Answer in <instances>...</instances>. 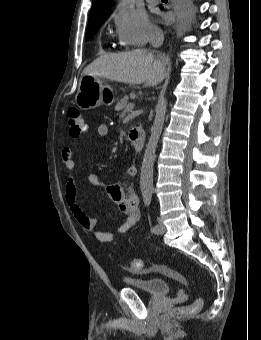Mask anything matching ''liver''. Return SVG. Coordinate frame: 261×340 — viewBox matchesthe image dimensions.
Segmentation results:
<instances>
[{
    "instance_id": "obj_1",
    "label": "liver",
    "mask_w": 261,
    "mask_h": 340,
    "mask_svg": "<svg viewBox=\"0 0 261 340\" xmlns=\"http://www.w3.org/2000/svg\"><path fill=\"white\" fill-rule=\"evenodd\" d=\"M92 75L128 84L156 86L165 76V62L155 59L145 49L128 52L104 54L95 59L83 71Z\"/></svg>"
}]
</instances>
